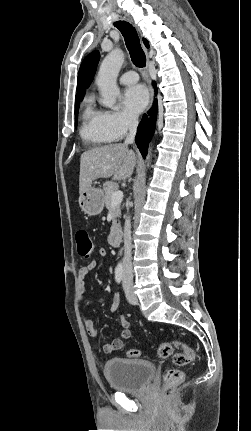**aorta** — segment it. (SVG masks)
<instances>
[{
  "label": "aorta",
  "mask_w": 251,
  "mask_h": 431,
  "mask_svg": "<svg viewBox=\"0 0 251 431\" xmlns=\"http://www.w3.org/2000/svg\"><path fill=\"white\" fill-rule=\"evenodd\" d=\"M124 63V53L120 49L112 50L102 61L96 83L100 89L103 106L113 108L119 95L116 79ZM151 149L148 150L146 160L149 162ZM149 164V163H148Z\"/></svg>",
  "instance_id": "obj_1"
}]
</instances>
